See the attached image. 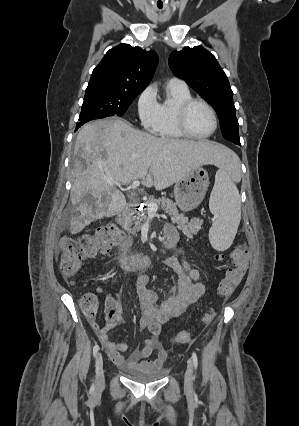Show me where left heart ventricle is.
I'll return each mask as SVG.
<instances>
[{"instance_id":"b2bd125f","label":"left heart ventricle","mask_w":299,"mask_h":426,"mask_svg":"<svg viewBox=\"0 0 299 426\" xmlns=\"http://www.w3.org/2000/svg\"><path fill=\"white\" fill-rule=\"evenodd\" d=\"M187 124L189 130L196 135H206L214 126L210 111L202 104H195L190 108Z\"/></svg>"}]
</instances>
